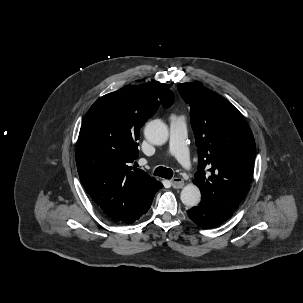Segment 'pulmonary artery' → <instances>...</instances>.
<instances>
[{
	"instance_id": "obj_1",
	"label": "pulmonary artery",
	"mask_w": 303,
	"mask_h": 303,
	"mask_svg": "<svg viewBox=\"0 0 303 303\" xmlns=\"http://www.w3.org/2000/svg\"><path fill=\"white\" fill-rule=\"evenodd\" d=\"M187 124L182 116L170 117L169 153L185 168L190 167V155L186 145Z\"/></svg>"
}]
</instances>
